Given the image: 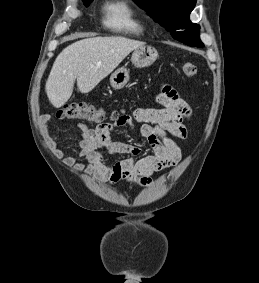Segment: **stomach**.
<instances>
[{
	"label": "stomach",
	"instance_id": "stomach-1",
	"mask_svg": "<svg viewBox=\"0 0 259 283\" xmlns=\"http://www.w3.org/2000/svg\"><path fill=\"white\" fill-rule=\"evenodd\" d=\"M157 57L158 52L154 47L143 45L133 51L131 61L137 67H148ZM129 78V71L125 67L118 68L110 77V85L114 89H121L128 83Z\"/></svg>",
	"mask_w": 259,
	"mask_h": 283
}]
</instances>
